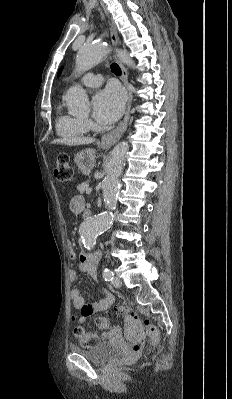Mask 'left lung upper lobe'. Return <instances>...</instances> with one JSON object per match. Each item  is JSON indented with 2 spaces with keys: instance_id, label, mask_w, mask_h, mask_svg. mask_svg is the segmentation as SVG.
I'll return each mask as SVG.
<instances>
[{
  "instance_id": "1",
  "label": "left lung upper lobe",
  "mask_w": 232,
  "mask_h": 399,
  "mask_svg": "<svg viewBox=\"0 0 232 399\" xmlns=\"http://www.w3.org/2000/svg\"><path fill=\"white\" fill-rule=\"evenodd\" d=\"M60 73H61V69L59 70L58 75H60Z\"/></svg>"
}]
</instances>
